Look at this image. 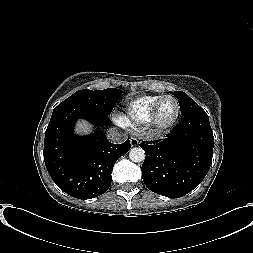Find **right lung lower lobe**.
<instances>
[{"label": "right lung lower lobe", "instance_id": "right-lung-lower-lobe-1", "mask_svg": "<svg viewBox=\"0 0 253 253\" xmlns=\"http://www.w3.org/2000/svg\"><path fill=\"white\" fill-rule=\"evenodd\" d=\"M79 118L98 126L111 124L108 115L87 107L57 106L45 133L44 161L61 190L75 198L91 199L108 190L113 166L128 152L130 141L113 144L101 131L77 136L73 126Z\"/></svg>", "mask_w": 253, "mask_h": 253}]
</instances>
